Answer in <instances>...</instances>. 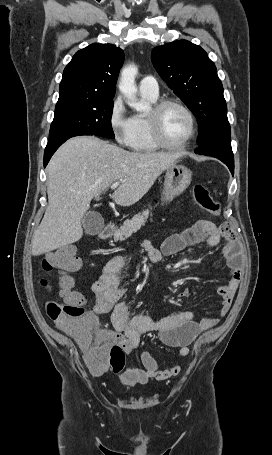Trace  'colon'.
Masks as SVG:
<instances>
[{
  "label": "colon",
  "mask_w": 272,
  "mask_h": 455,
  "mask_svg": "<svg viewBox=\"0 0 272 455\" xmlns=\"http://www.w3.org/2000/svg\"><path fill=\"white\" fill-rule=\"evenodd\" d=\"M193 199L210 214H219V205L203 185L194 186ZM79 266L77 249L73 245L62 246L45 257V276L41 279V285L48 291L57 287L63 297V301H48L46 313L61 330L79 343L84 351L85 361L92 370L102 372L111 369L117 372L124 367L123 348L95 334L96 319L85 311L82 296L72 290L70 274ZM52 273L59 276L56 285L50 277Z\"/></svg>",
  "instance_id": "colon-1"
}]
</instances>
